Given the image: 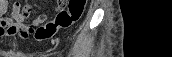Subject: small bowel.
Listing matches in <instances>:
<instances>
[{"label": "small bowel", "mask_w": 172, "mask_h": 57, "mask_svg": "<svg viewBox=\"0 0 172 57\" xmlns=\"http://www.w3.org/2000/svg\"><path fill=\"white\" fill-rule=\"evenodd\" d=\"M22 1H15L12 6L6 0H0V41L6 39L20 38L26 40L33 35L35 40L41 41L40 35L44 31L43 24L46 20L45 14L38 15L32 23H29L30 14L24 15ZM30 8V7H29ZM31 9V8H30Z\"/></svg>", "instance_id": "small-bowel-1"}]
</instances>
